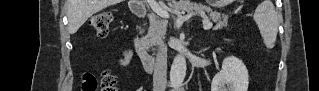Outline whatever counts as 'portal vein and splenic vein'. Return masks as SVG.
<instances>
[{"label":"portal vein and splenic vein","mask_w":319,"mask_h":91,"mask_svg":"<svg viewBox=\"0 0 319 91\" xmlns=\"http://www.w3.org/2000/svg\"><path fill=\"white\" fill-rule=\"evenodd\" d=\"M149 6L151 9L161 18L168 19L169 18V13L164 10L155 0H149ZM213 26V23L210 21L204 22L203 28L204 29H211Z\"/></svg>","instance_id":"1"}]
</instances>
